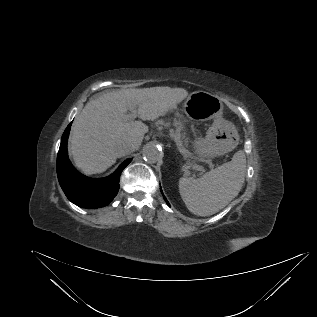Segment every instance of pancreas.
Here are the masks:
<instances>
[{"label":"pancreas","mask_w":317,"mask_h":317,"mask_svg":"<svg viewBox=\"0 0 317 317\" xmlns=\"http://www.w3.org/2000/svg\"><path fill=\"white\" fill-rule=\"evenodd\" d=\"M175 125L177 126V130L174 134V140L179 146H183V142H187V138H185L184 134H181V131L183 130V124L180 121H175ZM187 156H190V153L187 150H184Z\"/></svg>","instance_id":"cf45deb5"}]
</instances>
